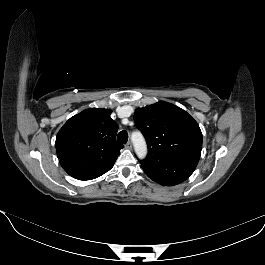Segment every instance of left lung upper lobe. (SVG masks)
<instances>
[{
    "instance_id": "1",
    "label": "left lung upper lobe",
    "mask_w": 265,
    "mask_h": 265,
    "mask_svg": "<svg viewBox=\"0 0 265 265\" xmlns=\"http://www.w3.org/2000/svg\"><path fill=\"white\" fill-rule=\"evenodd\" d=\"M133 119L148 144V155L141 164L200 157L202 133L185 110L167 102H157L136 109Z\"/></svg>"
}]
</instances>
